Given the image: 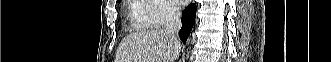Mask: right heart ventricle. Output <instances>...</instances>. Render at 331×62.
<instances>
[{"instance_id": "obj_1", "label": "right heart ventricle", "mask_w": 331, "mask_h": 62, "mask_svg": "<svg viewBox=\"0 0 331 62\" xmlns=\"http://www.w3.org/2000/svg\"><path fill=\"white\" fill-rule=\"evenodd\" d=\"M148 14L149 11L142 3H132L130 7V18L133 22L136 23L138 28L142 30H146L149 28L147 25Z\"/></svg>"}]
</instances>
